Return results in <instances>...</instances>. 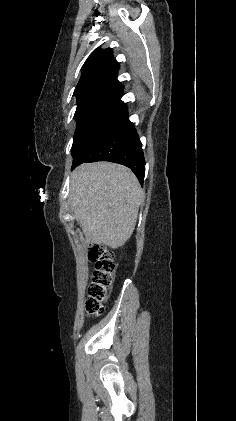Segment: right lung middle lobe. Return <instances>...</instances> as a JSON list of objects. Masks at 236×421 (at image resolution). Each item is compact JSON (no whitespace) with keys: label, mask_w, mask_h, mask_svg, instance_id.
I'll use <instances>...</instances> for the list:
<instances>
[{"label":"right lung middle lobe","mask_w":236,"mask_h":421,"mask_svg":"<svg viewBox=\"0 0 236 421\" xmlns=\"http://www.w3.org/2000/svg\"><path fill=\"white\" fill-rule=\"evenodd\" d=\"M122 94V86H108L77 95V127L72 147L73 156L94 130L122 103Z\"/></svg>","instance_id":"right-lung-middle-lobe-1"}]
</instances>
